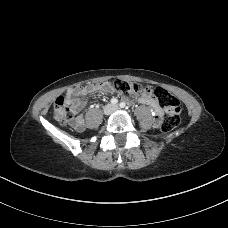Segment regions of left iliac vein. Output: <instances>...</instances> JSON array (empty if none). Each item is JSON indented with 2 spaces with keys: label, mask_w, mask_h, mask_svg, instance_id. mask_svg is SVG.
Segmentation results:
<instances>
[{
  "label": "left iliac vein",
  "mask_w": 228,
  "mask_h": 228,
  "mask_svg": "<svg viewBox=\"0 0 228 228\" xmlns=\"http://www.w3.org/2000/svg\"><path fill=\"white\" fill-rule=\"evenodd\" d=\"M114 109H117V106H114Z\"/></svg>",
  "instance_id": "1"
}]
</instances>
